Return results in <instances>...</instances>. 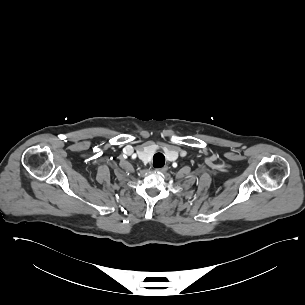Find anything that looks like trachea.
<instances>
[{"instance_id":"obj_1","label":"trachea","mask_w":305,"mask_h":305,"mask_svg":"<svg viewBox=\"0 0 305 305\" xmlns=\"http://www.w3.org/2000/svg\"><path fill=\"white\" fill-rule=\"evenodd\" d=\"M165 164V156L162 153H156L153 156V166L155 168H161Z\"/></svg>"}]
</instances>
